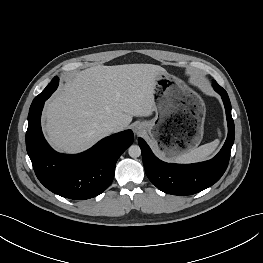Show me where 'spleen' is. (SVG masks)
<instances>
[{
	"label": "spleen",
	"mask_w": 263,
	"mask_h": 263,
	"mask_svg": "<svg viewBox=\"0 0 263 263\" xmlns=\"http://www.w3.org/2000/svg\"><path fill=\"white\" fill-rule=\"evenodd\" d=\"M219 142V139H216L210 143L201 145L198 148L192 149L189 152L177 156L174 161L181 164L205 161L209 159L212 153L216 150Z\"/></svg>",
	"instance_id": "obj_1"
}]
</instances>
